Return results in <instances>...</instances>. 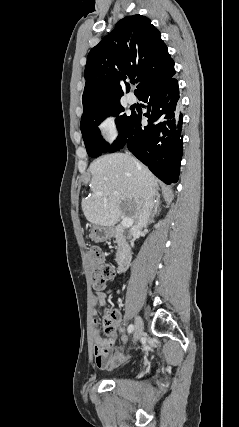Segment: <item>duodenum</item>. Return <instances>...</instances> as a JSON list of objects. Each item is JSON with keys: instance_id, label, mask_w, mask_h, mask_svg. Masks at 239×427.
I'll use <instances>...</instances> for the list:
<instances>
[{"instance_id": "410a0bca", "label": "duodenum", "mask_w": 239, "mask_h": 427, "mask_svg": "<svg viewBox=\"0 0 239 427\" xmlns=\"http://www.w3.org/2000/svg\"><path fill=\"white\" fill-rule=\"evenodd\" d=\"M133 257V250L131 246L124 242L121 247L119 248L118 255H117V272L123 273L125 272L132 261Z\"/></svg>"}]
</instances>
